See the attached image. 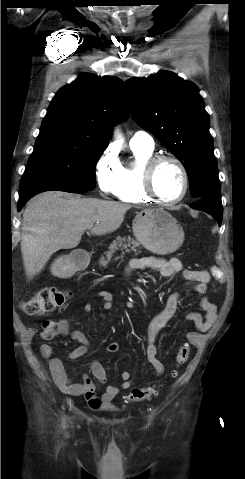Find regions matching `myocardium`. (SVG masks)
Wrapping results in <instances>:
<instances>
[{
    "mask_svg": "<svg viewBox=\"0 0 245 479\" xmlns=\"http://www.w3.org/2000/svg\"><path fill=\"white\" fill-rule=\"evenodd\" d=\"M165 162L174 163L180 170L183 178V189L180 196L174 200H163L155 189V175L158 168ZM142 188L145 194L155 202L163 206H172L180 203L186 197L189 190V174L184 163L173 155H155L151 157L144 165L142 172Z\"/></svg>",
    "mask_w": 245,
    "mask_h": 479,
    "instance_id": "myocardium-1",
    "label": "myocardium"
}]
</instances>
